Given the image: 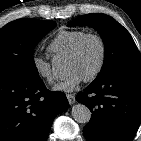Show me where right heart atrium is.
Segmentation results:
<instances>
[{
    "label": "right heart atrium",
    "instance_id": "obj_1",
    "mask_svg": "<svg viewBox=\"0 0 141 141\" xmlns=\"http://www.w3.org/2000/svg\"><path fill=\"white\" fill-rule=\"evenodd\" d=\"M32 65L37 75L45 82L52 84L55 81L52 65L48 58L35 54L32 57Z\"/></svg>",
    "mask_w": 141,
    "mask_h": 141
}]
</instances>
